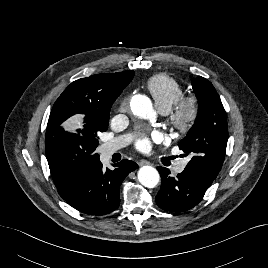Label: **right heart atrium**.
<instances>
[{"instance_id":"1","label":"right heart atrium","mask_w":268,"mask_h":268,"mask_svg":"<svg viewBox=\"0 0 268 268\" xmlns=\"http://www.w3.org/2000/svg\"><path fill=\"white\" fill-rule=\"evenodd\" d=\"M119 108H120V111L121 112H125L126 111V108H127V100L126 99H124L123 101H121Z\"/></svg>"}]
</instances>
